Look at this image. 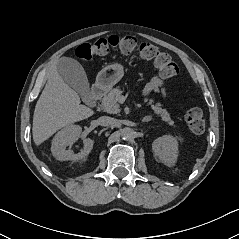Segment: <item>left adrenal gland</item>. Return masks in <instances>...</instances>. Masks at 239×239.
Masks as SVG:
<instances>
[{
    "mask_svg": "<svg viewBox=\"0 0 239 239\" xmlns=\"http://www.w3.org/2000/svg\"><path fill=\"white\" fill-rule=\"evenodd\" d=\"M151 119H152L151 116H146V117L143 118L142 122H143V123H144V122H149V121H151Z\"/></svg>",
    "mask_w": 239,
    "mask_h": 239,
    "instance_id": "obj_1",
    "label": "left adrenal gland"
}]
</instances>
